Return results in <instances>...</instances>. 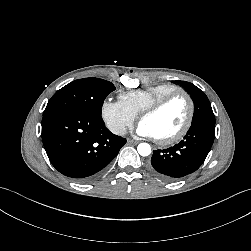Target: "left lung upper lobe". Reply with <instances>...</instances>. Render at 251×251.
<instances>
[{
  "mask_svg": "<svg viewBox=\"0 0 251 251\" xmlns=\"http://www.w3.org/2000/svg\"><path fill=\"white\" fill-rule=\"evenodd\" d=\"M177 82L182 85L192 96L194 102V115L192 123L204 119L215 121V116L212 111L211 104L204 92L192 83L186 81Z\"/></svg>",
  "mask_w": 251,
  "mask_h": 251,
  "instance_id": "obj_1",
  "label": "left lung upper lobe"
}]
</instances>
